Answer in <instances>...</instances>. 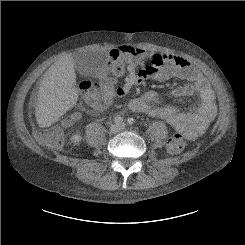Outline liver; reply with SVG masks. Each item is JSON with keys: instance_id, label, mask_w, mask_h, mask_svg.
<instances>
[{"instance_id": "6515ba94", "label": "liver", "mask_w": 245, "mask_h": 245, "mask_svg": "<svg viewBox=\"0 0 245 245\" xmlns=\"http://www.w3.org/2000/svg\"><path fill=\"white\" fill-rule=\"evenodd\" d=\"M75 61L70 55L61 57L45 72L41 82L35 116L41 128L56 123L78 99L75 88Z\"/></svg>"}]
</instances>
